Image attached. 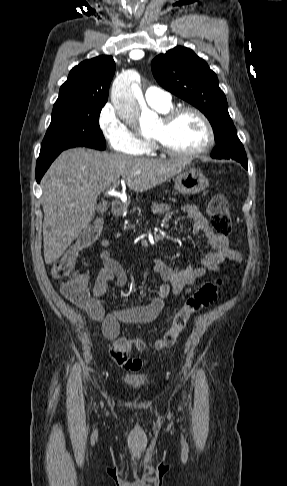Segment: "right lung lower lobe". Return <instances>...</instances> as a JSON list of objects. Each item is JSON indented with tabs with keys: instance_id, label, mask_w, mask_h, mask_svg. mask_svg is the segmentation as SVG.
<instances>
[{
	"instance_id": "right-lung-lower-lobe-1",
	"label": "right lung lower lobe",
	"mask_w": 287,
	"mask_h": 486,
	"mask_svg": "<svg viewBox=\"0 0 287 486\" xmlns=\"http://www.w3.org/2000/svg\"><path fill=\"white\" fill-rule=\"evenodd\" d=\"M61 152L47 155V156H42L37 159V164H36V181L39 183L42 176L50 166V164L53 162V160L60 154Z\"/></svg>"
}]
</instances>
